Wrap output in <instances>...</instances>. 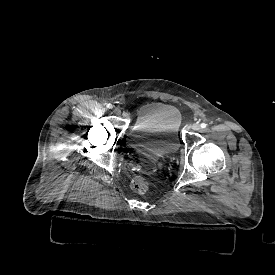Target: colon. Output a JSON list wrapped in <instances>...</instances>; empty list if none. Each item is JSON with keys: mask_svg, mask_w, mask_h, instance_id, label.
I'll return each instance as SVG.
<instances>
[{"mask_svg": "<svg viewBox=\"0 0 275 275\" xmlns=\"http://www.w3.org/2000/svg\"><path fill=\"white\" fill-rule=\"evenodd\" d=\"M130 189L136 194H144L146 187L140 179H133L130 184Z\"/></svg>", "mask_w": 275, "mask_h": 275, "instance_id": "obj_1", "label": "colon"}]
</instances>
